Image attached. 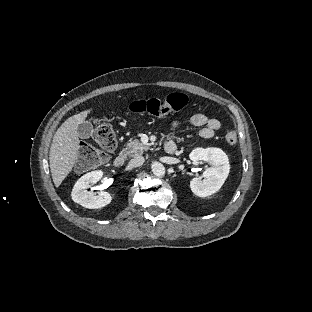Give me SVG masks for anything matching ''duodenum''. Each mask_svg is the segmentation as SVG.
Returning <instances> with one entry per match:
<instances>
[{
    "instance_id": "1",
    "label": "duodenum",
    "mask_w": 312,
    "mask_h": 312,
    "mask_svg": "<svg viewBox=\"0 0 312 312\" xmlns=\"http://www.w3.org/2000/svg\"><path fill=\"white\" fill-rule=\"evenodd\" d=\"M164 150L169 154H175L177 152V146L172 142H166L164 144ZM127 159V152L123 151L114 159V166L122 168L125 165Z\"/></svg>"
}]
</instances>
